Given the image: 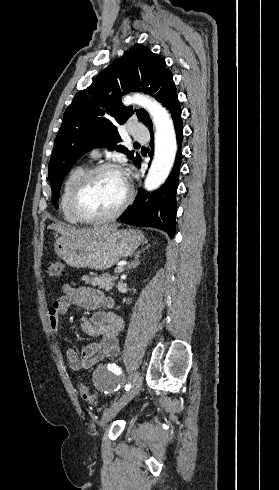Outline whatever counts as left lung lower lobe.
I'll return each instance as SVG.
<instances>
[{"label": "left lung lower lobe", "instance_id": "0a47b994", "mask_svg": "<svg viewBox=\"0 0 279 490\" xmlns=\"http://www.w3.org/2000/svg\"><path fill=\"white\" fill-rule=\"evenodd\" d=\"M167 109L170 111L178 139L182 140V118L178 96H175ZM151 133V144L153 145L152 123L148 125ZM180 148V147H179ZM141 158L137 165L140 167ZM181 152L179 150L175 165L166 182L153 193L139 190L136 199L120 217L119 221L134 226L154 227L168 233L170 238L175 234V215H176V192L178 187V177L180 172Z\"/></svg>", "mask_w": 279, "mask_h": 490}]
</instances>
